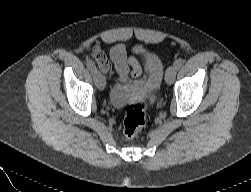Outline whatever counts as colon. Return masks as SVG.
Here are the masks:
<instances>
[{
	"instance_id": "obj_1",
	"label": "colon",
	"mask_w": 251,
	"mask_h": 192,
	"mask_svg": "<svg viewBox=\"0 0 251 192\" xmlns=\"http://www.w3.org/2000/svg\"><path fill=\"white\" fill-rule=\"evenodd\" d=\"M146 122V103L140 101L128 106L124 117V135L128 139L135 138L143 129Z\"/></svg>"
}]
</instances>
